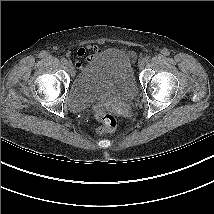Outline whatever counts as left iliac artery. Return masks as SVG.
Here are the masks:
<instances>
[{"instance_id":"44dca946","label":"left iliac artery","mask_w":214,"mask_h":214,"mask_svg":"<svg viewBox=\"0 0 214 214\" xmlns=\"http://www.w3.org/2000/svg\"><path fill=\"white\" fill-rule=\"evenodd\" d=\"M149 59H150V56H146V57L144 58V61H145V62H148Z\"/></svg>"}]
</instances>
